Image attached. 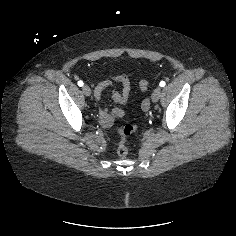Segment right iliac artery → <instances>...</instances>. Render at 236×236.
Returning a JSON list of instances; mask_svg holds the SVG:
<instances>
[{"label": "right iliac artery", "instance_id": "obj_1", "mask_svg": "<svg viewBox=\"0 0 236 236\" xmlns=\"http://www.w3.org/2000/svg\"><path fill=\"white\" fill-rule=\"evenodd\" d=\"M78 85L80 86V87H82L83 85H84V83H83V81H78Z\"/></svg>", "mask_w": 236, "mask_h": 236}]
</instances>
